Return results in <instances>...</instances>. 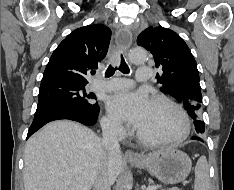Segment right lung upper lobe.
Segmentation results:
<instances>
[{
    "label": "right lung upper lobe",
    "mask_w": 234,
    "mask_h": 190,
    "mask_svg": "<svg viewBox=\"0 0 234 190\" xmlns=\"http://www.w3.org/2000/svg\"><path fill=\"white\" fill-rule=\"evenodd\" d=\"M111 31L102 24H91L71 32L55 49L41 83L64 81L86 85V75L98 68L106 56Z\"/></svg>",
    "instance_id": "right-lung-upper-lobe-1"
}]
</instances>
